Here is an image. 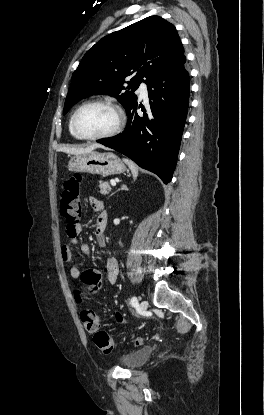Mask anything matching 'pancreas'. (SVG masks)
<instances>
[{"label": "pancreas", "instance_id": "cf45deb5", "mask_svg": "<svg viewBox=\"0 0 264 415\" xmlns=\"http://www.w3.org/2000/svg\"><path fill=\"white\" fill-rule=\"evenodd\" d=\"M99 189H100V193L103 195L108 194V192L111 190L110 185L108 182H99Z\"/></svg>", "mask_w": 264, "mask_h": 415}]
</instances>
